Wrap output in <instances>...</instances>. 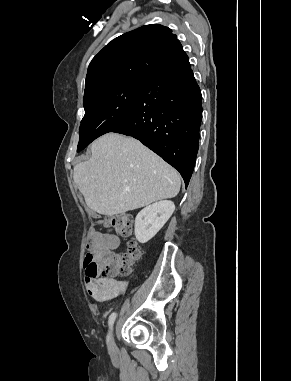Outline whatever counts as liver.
I'll list each match as a JSON object with an SVG mask.
<instances>
[{
    "label": "liver",
    "instance_id": "obj_1",
    "mask_svg": "<svg viewBox=\"0 0 291 381\" xmlns=\"http://www.w3.org/2000/svg\"><path fill=\"white\" fill-rule=\"evenodd\" d=\"M92 156L74 167L73 179L87 206L107 216L173 198L178 172L140 141L108 133L91 145Z\"/></svg>",
    "mask_w": 291,
    "mask_h": 381
}]
</instances>
